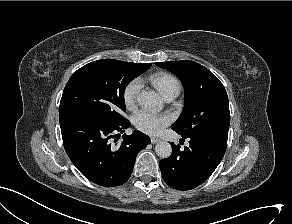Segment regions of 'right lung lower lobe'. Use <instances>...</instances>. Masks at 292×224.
<instances>
[{
    "mask_svg": "<svg viewBox=\"0 0 292 224\" xmlns=\"http://www.w3.org/2000/svg\"><path fill=\"white\" fill-rule=\"evenodd\" d=\"M63 144L77 169L90 181L104 187L124 184L131 176L140 150L151 143L150 138L135 130L123 135L121 144L113 145L130 124L109 126L76 111L59 114Z\"/></svg>",
    "mask_w": 292,
    "mask_h": 224,
    "instance_id": "1",
    "label": "right lung lower lobe"
}]
</instances>
